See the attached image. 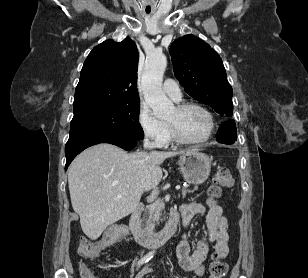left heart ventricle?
Masks as SVG:
<instances>
[{"label":"left heart ventricle","mask_w":308,"mask_h":278,"mask_svg":"<svg viewBox=\"0 0 308 278\" xmlns=\"http://www.w3.org/2000/svg\"><path fill=\"white\" fill-rule=\"evenodd\" d=\"M187 138L200 139L209 129V120L204 112L196 108L177 110L173 108L166 118Z\"/></svg>","instance_id":"1"}]
</instances>
